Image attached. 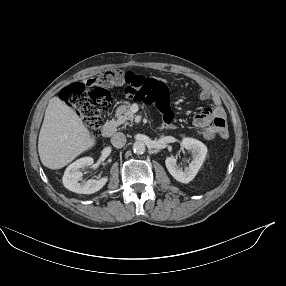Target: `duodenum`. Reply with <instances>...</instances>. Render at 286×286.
Returning a JSON list of instances; mask_svg holds the SVG:
<instances>
[{"mask_svg": "<svg viewBox=\"0 0 286 286\" xmlns=\"http://www.w3.org/2000/svg\"><path fill=\"white\" fill-rule=\"evenodd\" d=\"M116 131V124L113 121H107L102 129V135L106 138L112 137Z\"/></svg>", "mask_w": 286, "mask_h": 286, "instance_id": "duodenum-1", "label": "duodenum"}]
</instances>
